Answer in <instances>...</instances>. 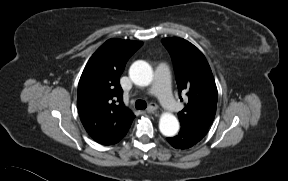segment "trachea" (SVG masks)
Returning a JSON list of instances; mask_svg holds the SVG:
<instances>
[{
    "instance_id": "1",
    "label": "trachea",
    "mask_w": 288,
    "mask_h": 181,
    "mask_svg": "<svg viewBox=\"0 0 288 181\" xmlns=\"http://www.w3.org/2000/svg\"><path fill=\"white\" fill-rule=\"evenodd\" d=\"M135 107H136V109H138V110H142V109H146L147 104H146V102L143 101V100H137V101L135 102Z\"/></svg>"
}]
</instances>
